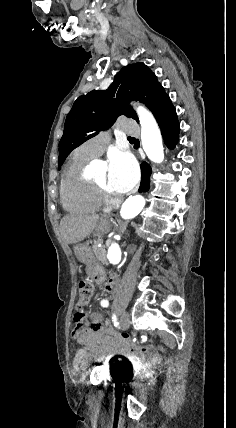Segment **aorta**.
<instances>
[{
    "mask_svg": "<svg viewBox=\"0 0 236 428\" xmlns=\"http://www.w3.org/2000/svg\"><path fill=\"white\" fill-rule=\"evenodd\" d=\"M136 111L140 119L142 147L151 161L161 163L164 159V149L158 124L151 112L146 108L140 106ZM144 206L145 198L143 196H131L122 204L120 215L123 219L134 218L142 211ZM117 238L118 236H115V239ZM107 258L111 264L120 263L122 251L116 241L109 245Z\"/></svg>",
    "mask_w": 236,
    "mask_h": 428,
    "instance_id": "obj_1",
    "label": "aorta"
}]
</instances>
